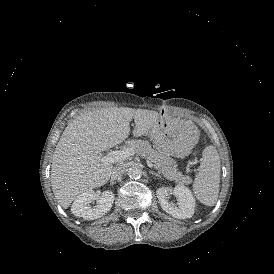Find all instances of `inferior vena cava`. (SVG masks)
Segmentation results:
<instances>
[{"label":"inferior vena cava","instance_id":"inferior-vena-cava-1","mask_svg":"<svg viewBox=\"0 0 274 274\" xmlns=\"http://www.w3.org/2000/svg\"><path fill=\"white\" fill-rule=\"evenodd\" d=\"M126 171L127 169L123 165H117L113 168L111 177L115 180L120 179Z\"/></svg>","mask_w":274,"mask_h":274}]
</instances>
